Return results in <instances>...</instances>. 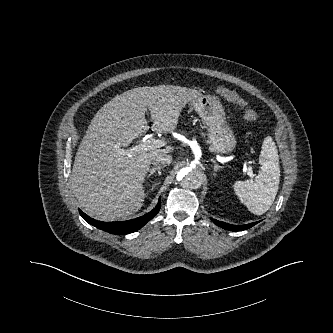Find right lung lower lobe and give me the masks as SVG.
<instances>
[{"label":"right lung lower lobe","instance_id":"obj_1","mask_svg":"<svg viewBox=\"0 0 333 333\" xmlns=\"http://www.w3.org/2000/svg\"><path fill=\"white\" fill-rule=\"evenodd\" d=\"M161 207V201L159 199V202L157 206L150 211L149 213L145 214L144 216L129 220V221H123V222H102L95 220L85 213H83L81 210H79L80 215L91 225L104 230L109 233H113L116 235H122V234H128L135 232L142 228L149 220H151L160 210Z\"/></svg>","mask_w":333,"mask_h":333}]
</instances>
